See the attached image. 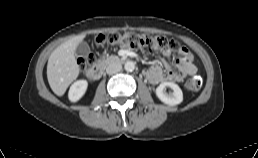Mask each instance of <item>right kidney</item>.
<instances>
[{"label":"right kidney","instance_id":"ca27d5eb","mask_svg":"<svg viewBox=\"0 0 258 158\" xmlns=\"http://www.w3.org/2000/svg\"><path fill=\"white\" fill-rule=\"evenodd\" d=\"M88 87L86 80H78L74 82L69 90L68 97L71 102H77L83 97Z\"/></svg>","mask_w":258,"mask_h":158}]
</instances>
